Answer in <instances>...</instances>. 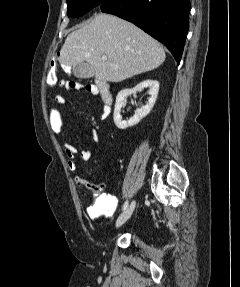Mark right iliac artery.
Segmentation results:
<instances>
[{"label":"right iliac artery","mask_w":240,"mask_h":287,"mask_svg":"<svg viewBox=\"0 0 240 287\" xmlns=\"http://www.w3.org/2000/svg\"><path fill=\"white\" fill-rule=\"evenodd\" d=\"M128 207V201H125L123 207H122V210H125L126 208Z\"/></svg>","instance_id":"obj_1"}]
</instances>
